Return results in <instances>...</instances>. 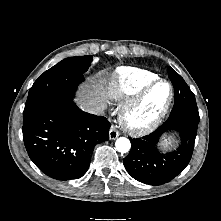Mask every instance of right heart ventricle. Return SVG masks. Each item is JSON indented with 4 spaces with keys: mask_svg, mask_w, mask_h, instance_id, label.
<instances>
[{
    "mask_svg": "<svg viewBox=\"0 0 221 221\" xmlns=\"http://www.w3.org/2000/svg\"><path fill=\"white\" fill-rule=\"evenodd\" d=\"M158 75L141 68L121 67L114 73L108 94L114 100H123L137 96Z\"/></svg>",
    "mask_w": 221,
    "mask_h": 221,
    "instance_id": "right-heart-ventricle-1",
    "label": "right heart ventricle"
}]
</instances>
